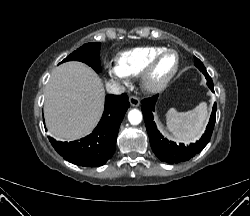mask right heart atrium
I'll return each instance as SVG.
<instances>
[{
    "instance_id": "1",
    "label": "right heart atrium",
    "mask_w": 250,
    "mask_h": 216,
    "mask_svg": "<svg viewBox=\"0 0 250 216\" xmlns=\"http://www.w3.org/2000/svg\"><path fill=\"white\" fill-rule=\"evenodd\" d=\"M110 73L119 79H125L126 75L120 70L118 66H112Z\"/></svg>"
}]
</instances>
